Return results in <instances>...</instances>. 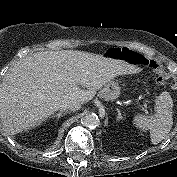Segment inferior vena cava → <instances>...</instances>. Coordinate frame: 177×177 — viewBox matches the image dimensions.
<instances>
[{
  "instance_id": "obj_1",
  "label": "inferior vena cava",
  "mask_w": 177,
  "mask_h": 177,
  "mask_svg": "<svg viewBox=\"0 0 177 177\" xmlns=\"http://www.w3.org/2000/svg\"><path fill=\"white\" fill-rule=\"evenodd\" d=\"M81 104L77 101H66L60 105V111H76L80 109Z\"/></svg>"
}]
</instances>
